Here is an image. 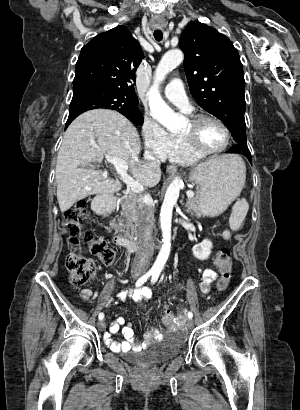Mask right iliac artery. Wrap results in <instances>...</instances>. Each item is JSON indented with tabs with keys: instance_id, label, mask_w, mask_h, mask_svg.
Wrapping results in <instances>:
<instances>
[{
	"instance_id": "obj_1",
	"label": "right iliac artery",
	"mask_w": 300,
	"mask_h": 410,
	"mask_svg": "<svg viewBox=\"0 0 300 410\" xmlns=\"http://www.w3.org/2000/svg\"><path fill=\"white\" fill-rule=\"evenodd\" d=\"M151 275H153V272H152V271H148L146 274H144L143 276H141V277L137 280V282H136V287L142 286V285L149 279V277H150ZM98 318H99V320H103L104 314H103V313H100L99 316H98Z\"/></svg>"
}]
</instances>
